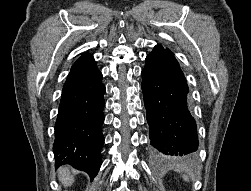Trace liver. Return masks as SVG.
<instances>
[{
    "mask_svg": "<svg viewBox=\"0 0 251 191\" xmlns=\"http://www.w3.org/2000/svg\"><path fill=\"white\" fill-rule=\"evenodd\" d=\"M58 175H59L60 181H62L64 185H72L74 181V177H71V171L68 165H62V167H59Z\"/></svg>",
    "mask_w": 251,
    "mask_h": 191,
    "instance_id": "6515ba94",
    "label": "liver"
}]
</instances>
